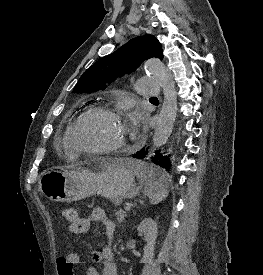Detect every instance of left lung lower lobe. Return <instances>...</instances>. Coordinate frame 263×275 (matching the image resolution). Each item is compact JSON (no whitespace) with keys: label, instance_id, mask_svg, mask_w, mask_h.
Listing matches in <instances>:
<instances>
[{"label":"left lung lower lobe","instance_id":"obj_1","mask_svg":"<svg viewBox=\"0 0 263 275\" xmlns=\"http://www.w3.org/2000/svg\"><path fill=\"white\" fill-rule=\"evenodd\" d=\"M154 153L155 155L150 156L151 153L148 151V148H142L141 150L137 151V153L134 154L133 157L137 159L150 158L154 164L168 171L171 167L170 155L164 156L160 150H156ZM150 174L155 177L164 176L163 172H161L160 170H151Z\"/></svg>","mask_w":263,"mask_h":275}]
</instances>
